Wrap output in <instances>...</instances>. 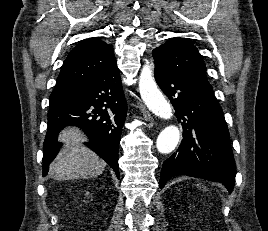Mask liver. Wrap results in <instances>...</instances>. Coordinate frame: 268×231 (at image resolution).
I'll list each match as a JSON object with an SVG mask.
<instances>
[{
  "mask_svg": "<svg viewBox=\"0 0 268 231\" xmlns=\"http://www.w3.org/2000/svg\"><path fill=\"white\" fill-rule=\"evenodd\" d=\"M64 144L62 151L50 164V175L55 180L89 179L103 173L106 163L81 143L85 136L76 128H66L59 134Z\"/></svg>",
  "mask_w": 268,
  "mask_h": 231,
  "instance_id": "liver-1",
  "label": "liver"
}]
</instances>
